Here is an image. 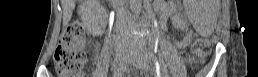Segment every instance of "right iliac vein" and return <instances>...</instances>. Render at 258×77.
I'll use <instances>...</instances> for the list:
<instances>
[{"label":"right iliac vein","instance_id":"1","mask_svg":"<svg viewBox=\"0 0 258 77\" xmlns=\"http://www.w3.org/2000/svg\"><path fill=\"white\" fill-rule=\"evenodd\" d=\"M123 59V54H116L114 65L116 66L117 71H121V69L123 68Z\"/></svg>","mask_w":258,"mask_h":77}]
</instances>
